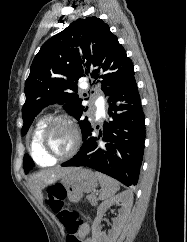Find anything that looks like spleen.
Segmentation results:
<instances>
[{
    "label": "spleen",
    "mask_w": 187,
    "mask_h": 242,
    "mask_svg": "<svg viewBox=\"0 0 187 242\" xmlns=\"http://www.w3.org/2000/svg\"><path fill=\"white\" fill-rule=\"evenodd\" d=\"M95 176L101 185V193L99 195L101 200L111 199L119 191L120 187L116 180L99 172H95Z\"/></svg>",
    "instance_id": "spleen-1"
}]
</instances>
